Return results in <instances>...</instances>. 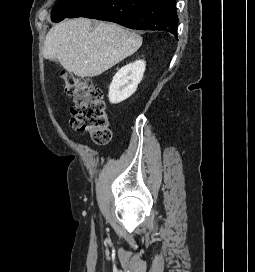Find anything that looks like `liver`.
Wrapping results in <instances>:
<instances>
[{
  "label": "liver",
  "instance_id": "obj_1",
  "mask_svg": "<svg viewBox=\"0 0 255 272\" xmlns=\"http://www.w3.org/2000/svg\"><path fill=\"white\" fill-rule=\"evenodd\" d=\"M142 45V37L115 23L71 19L47 33L43 56L57 60L78 77H94L107 71Z\"/></svg>",
  "mask_w": 255,
  "mask_h": 272
}]
</instances>
